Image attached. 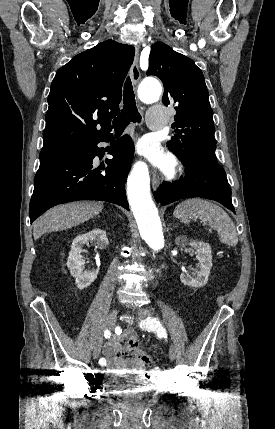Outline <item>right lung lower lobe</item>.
<instances>
[{"label":"right lung lower lobe","instance_id":"obj_1","mask_svg":"<svg viewBox=\"0 0 275 429\" xmlns=\"http://www.w3.org/2000/svg\"><path fill=\"white\" fill-rule=\"evenodd\" d=\"M111 134L92 139L62 154L40 160L34 179L29 215L33 222L49 208L75 200H104L129 210L125 183L134 148L129 136L112 144L106 165L94 168L95 156H104L99 142L111 141Z\"/></svg>","mask_w":275,"mask_h":429}]
</instances>
